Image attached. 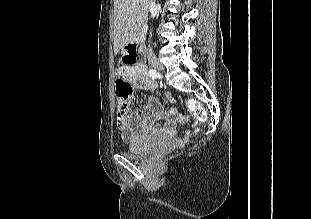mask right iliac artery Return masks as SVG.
I'll use <instances>...</instances> for the list:
<instances>
[{"instance_id":"obj_1","label":"right iliac artery","mask_w":311,"mask_h":219,"mask_svg":"<svg viewBox=\"0 0 311 219\" xmlns=\"http://www.w3.org/2000/svg\"><path fill=\"white\" fill-rule=\"evenodd\" d=\"M149 75L152 77V79H156V78H158L159 73L156 70H154V69H150L149 70Z\"/></svg>"}]
</instances>
